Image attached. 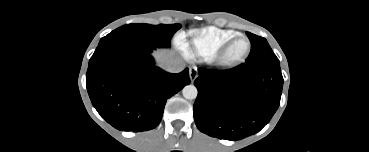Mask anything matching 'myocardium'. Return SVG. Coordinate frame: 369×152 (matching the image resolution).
Instances as JSON below:
<instances>
[{"mask_svg": "<svg viewBox=\"0 0 369 152\" xmlns=\"http://www.w3.org/2000/svg\"><path fill=\"white\" fill-rule=\"evenodd\" d=\"M238 40H245L247 42V49L246 51L239 57H231L229 55L231 47L238 41ZM251 41L250 39L242 34H238L232 38H230L228 41H226L221 48L218 50L217 54L214 56L215 61L223 66H233L236 64H239L246 60V58L249 56L251 52Z\"/></svg>", "mask_w": 369, "mask_h": 152, "instance_id": "f54148a6", "label": "myocardium"}]
</instances>
